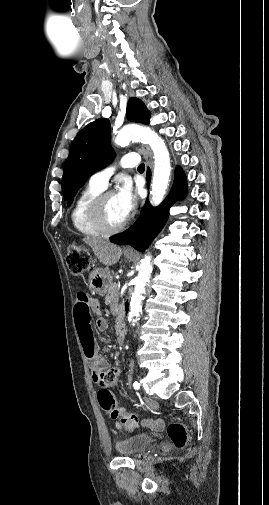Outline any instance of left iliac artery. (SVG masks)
Returning a JSON list of instances; mask_svg holds the SVG:
<instances>
[{
    "label": "left iliac artery",
    "mask_w": 269,
    "mask_h": 505,
    "mask_svg": "<svg viewBox=\"0 0 269 505\" xmlns=\"http://www.w3.org/2000/svg\"><path fill=\"white\" fill-rule=\"evenodd\" d=\"M133 387H134V389H136V390L140 389V383H139V382H137V381H135V382L133 383Z\"/></svg>",
    "instance_id": "44dca946"
}]
</instances>
